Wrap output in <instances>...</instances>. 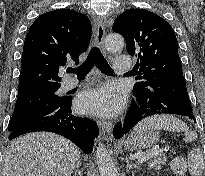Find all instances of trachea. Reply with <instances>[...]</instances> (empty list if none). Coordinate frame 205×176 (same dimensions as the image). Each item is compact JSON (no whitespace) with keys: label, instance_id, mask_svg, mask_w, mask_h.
Instances as JSON below:
<instances>
[{"label":"trachea","instance_id":"obj_1","mask_svg":"<svg viewBox=\"0 0 205 176\" xmlns=\"http://www.w3.org/2000/svg\"><path fill=\"white\" fill-rule=\"evenodd\" d=\"M96 65L97 68L107 74L113 73L112 68L98 48H92L87 59L77 68H68L67 73H75L77 77L85 76Z\"/></svg>","mask_w":205,"mask_h":176}]
</instances>
